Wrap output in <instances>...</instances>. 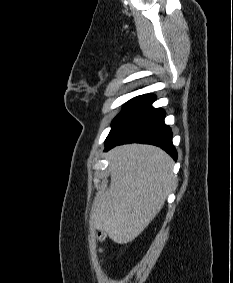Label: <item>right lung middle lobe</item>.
<instances>
[{
  "label": "right lung middle lobe",
  "mask_w": 233,
  "mask_h": 283,
  "mask_svg": "<svg viewBox=\"0 0 233 283\" xmlns=\"http://www.w3.org/2000/svg\"><path fill=\"white\" fill-rule=\"evenodd\" d=\"M138 98L139 96L129 100L127 104L123 107V110L120 112V114L115 117V119L112 122V129L109 135L116 128V126L120 123V121L124 118V116L129 112V110L131 109V107L134 105V103L137 101Z\"/></svg>",
  "instance_id": "1"
}]
</instances>
